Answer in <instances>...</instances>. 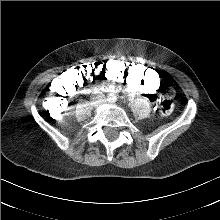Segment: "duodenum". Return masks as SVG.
I'll use <instances>...</instances> for the list:
<instances>
[{
  "mask_svg": "<svg viewBox=\"0 0 220 220\" xmlns=\"http://www.w3.org/2000/svg\"><path fill=\"white\" fill-rule=\"evenodd\" d=\"M84 89L87 91H99L104 89L103 87H101L100 85H85Z\"/></svg>",
  "mask_w": 220,
  "mask_h": 220,
  "instance_id": "duodenum-1",
  "label": "duodenum"
}]
</instances>
